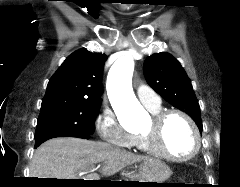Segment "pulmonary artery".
<instances>
[{"label": "pulmonary artery", "instance_id": "pulmonary-artery-1", "mask_svg": "<svg viewBox=\"0 0 240 187\" xmlns=\"http://www.w3.org/2000/svg\"><path fill=\"white\" fill-rule=\"evenodd\" d=\"M136 94L140 102L148 109L154 110L160 108L161 100L150 87L139 85L136 88Z\"/></svg>", "mask_w": 240, "mask_h": 187}]
</instances>
